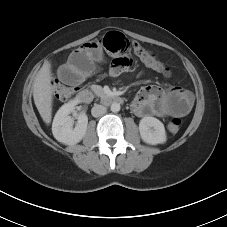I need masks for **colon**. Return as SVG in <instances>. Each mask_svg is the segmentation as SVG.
Returning <instances> with one entry per match:
<instances>
[{
  "mask_svg": "<svg viewBox=\"0 0 227 227\" xmlns=\"http://www.w3.org/2000/svg\"><path fill=\"white\" fill-rule=\"evenodd\" d=\"M91 41L99 42L103 49L116 58L128 57L131 59V55H137L140 60L150 69L169 74V69L166 65L159 60L151 51L147 50L139 43L128 39L123 34L118 32H110L106 34L102 39H95ZM90 42V41H89ZM132 60V59H131ZM54 95L59 100H65L69 98L77 90L74 86H64L58 79L53 83ZM181 120L179 118H173L168 123V129L172 133H176L180 130Z\"/></svg>",
  "mask_w": 227,
  "mask_h": 227,
  "instance_id": "obj_1",
  "label": "colon"
}]
</instances>
